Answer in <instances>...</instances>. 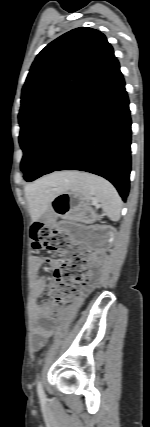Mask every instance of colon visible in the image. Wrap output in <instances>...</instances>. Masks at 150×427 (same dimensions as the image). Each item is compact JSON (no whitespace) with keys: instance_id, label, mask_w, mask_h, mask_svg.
Listing matches in <instances>:
<instances>
[{"instance_id":"obj_1","label":"colon","mask_w":150,"mask_h":427,"mask_svg":"<svg viewBox=\"0 0 150 427\" xmlns=\"http://www.w3.org/2000/svg\"><path fill=\"white\" fill-rule=\"evenodd\" d=\"M31 246L35 251H59L65 257L64 264L54 272L51 299L46 302L51 315L58 316L62 306L73 299L78 286L85 279L87 249L72 243L66 232L50 230L42 223L32 226Z\"/></svg>"}]
</instances>
